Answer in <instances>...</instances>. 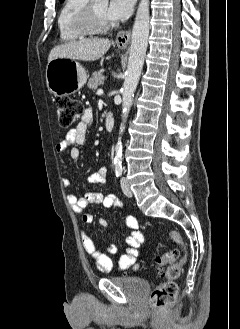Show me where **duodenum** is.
<instances>
[{
  "mask_svg": "<svg viewBox=\"0 0 240 329\" xmlns=\"http://www.w3.org/2000/svg\"><path fill=\"white\" fill-rule=\"evenodd\" d=\"M114 123H115V121H114L113 114L111 112H108L105 117V127L108 132H112V130L114 128Z\"/></svg>",
  "mask_w": 240,
  "mask_h": 329,
  "instance_id": "1",
  "label": "duodenum"
}]
</instances>
